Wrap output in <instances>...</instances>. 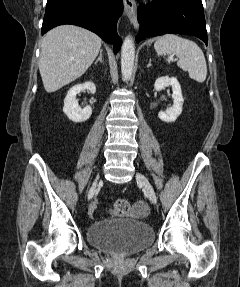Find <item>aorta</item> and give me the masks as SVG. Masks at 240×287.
Listing matches in <instances>:
<instances>
[{
	"mask_svg": "<svg viewBox=\"0 0 240 287\" xmlns=\"http://www.w3.org/2000/svg\"><path fill=\"white\" fill-rule=\"evenodd\" d=\"M135 59V44L131 36H127L121 49V72L124 81L130 80Z\"/></svg>",
	"mask_w": 240,
	"mask_h": 287,
	"instance_id": "762f6f07",
	"label": "aorta"
}]
</instances>
